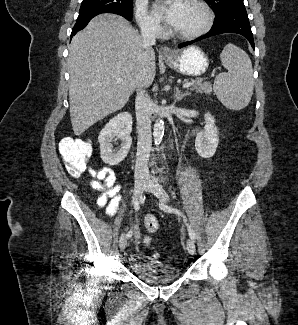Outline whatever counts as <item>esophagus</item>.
<instances>
[{
  "instance_id": "obj_1",
  "label": "esophagus",
  "mask_w": 298,
  "mask_h": 325,
  "mask_svg": "<svg viewBox=\"0 0 298 325\" xmlns=\"http://www.w3.org/2000/svg\"><path fill=\"white\" fill-rule=\"evenodd\" d=\"M162 58H172L173 50L169 47H161L160 52Z\"/></svg>"
}]
</instances>
